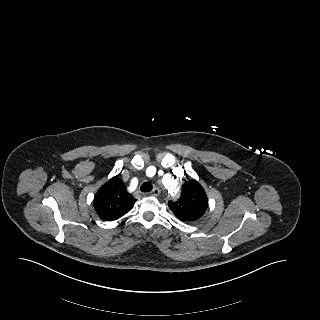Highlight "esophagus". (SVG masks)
<instances>
[{"label":"esophagus","instance_id":"esophagus-1","mask_svg":"<svg viewBox=\"0 0 320 320\" xmlns=\"http://www.w3.org/2000/svg\"><path fill=\"white\" fill-rule=\"evenodd\" d=\"M160 192V189L155 187L150 191L149 195L157 197L160 195Z\"/></svg>","mask_w":320,"mask_h":320}]
</instances>
